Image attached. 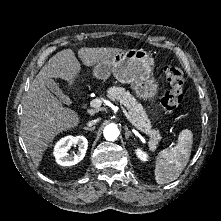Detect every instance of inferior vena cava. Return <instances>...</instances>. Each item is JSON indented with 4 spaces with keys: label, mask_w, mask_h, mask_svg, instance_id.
Segmentation results:
<instances>
[{
    "label": "inferior vena cava",
    "mask_w": 221,
    "mask_h": 221,
    "mask_svg": "<svg viewBox=\"0 0 221 221\" xmlns=\"http://www.w3.org/2000/svg\"><path fill=\"white\" fill-rule=\"evenodd\" d=\"M99 121H100V118L91 120L87 123V126L91 127V126L95 125L96 123H98Z\"/></svg>",
    "instance_id": "inferior-vena-cava-1"
}]
</instances>
